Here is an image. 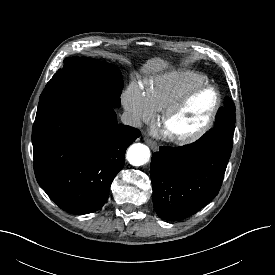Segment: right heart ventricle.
Wrapping results in <instances>:
<instances>
[{
    "instance_id": "e07e8e85",
    "label": "right heart ventricle",
    "mask_w": 275,
    "mask_h": 275,
    "mask_svg": "<svg viewBox=\"0 0 275 275\" xmlns=\"http://www.w3.org/2000/svg\"><path fill=\"white\" fill-rule=\"evenodd\" d=\"M207 82V78L199 73L175 71L147 81L144 94L152 111L162 112L189 90Z\"/></svg>"
}]
</instances>
